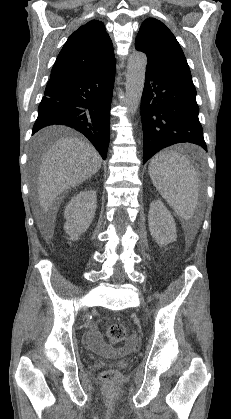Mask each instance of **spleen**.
<instances>
[{"label": "spleen", "mask_w": 231, "mask_h": 419, "mask_svg": "<svg viewBox=\"0 0 231 419\" xmlns=\"http://www.w3.org/2000/svg\"><path fill=\"white\" fill-rule=\"evenodd\" d=\"M149 175L176 214L184 220L191 219L199 194V177L191 162L177 152L162 151L151 159Z\"/></svg>", "instance_id": "obj_1"}]
</instances>
